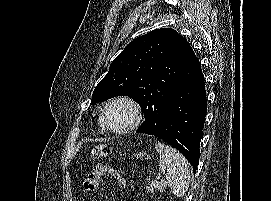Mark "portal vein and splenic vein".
<instances>
[{
  "label": "portal vein and splenic vein",
  "mask_w": 271,
  "mask_h": 201,
  "mask_svg": "<svg viewBox=\"0 0 271 201\" xmlns=\"http://www.w3.org/2000/svg\"><path fill=\"white\" fill-rule=\"evenodd\" d=\"M160 177H161L160 174H158V175L155 176L156 179H160Z\"/></svg>",
  "instance_id": "18ae733b"
}]
</instances>
